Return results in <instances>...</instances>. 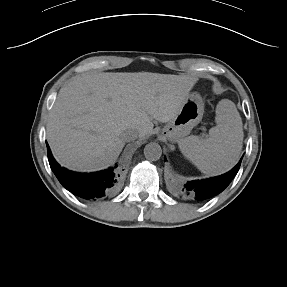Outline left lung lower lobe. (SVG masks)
Here are the masks:
<instances>
[{
  "instance_id": "1",
  "label": "left lung lower lobe",
  "mask_w": 287,
  "mask_h": 287,
  "mask_svg": "<svg viewBox=\"0 0 287 287\" xmlns=\"http://www.w3.org/2000/svg\"><path fill=\"white\" fill-rule=\"evenodd\" d=\"M242 160V159H241ZM240 162L229 172L218 177L189 181L184 188L178 190L180 196L190 200L204 201L222 192L237 174Z\"/></svg>"
}]
</instances>
